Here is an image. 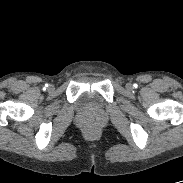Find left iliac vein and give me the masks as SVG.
Returning a JSON list of instances; mask_svg holds the SVG:
<instances>
[{"mask_svg": "<svg viewBox=\"0 0 183 183\" xmlns=\"http://www.w3.org/2000/svg\"><path fill=\"white\" fill-rule=\"evenodd\" d=\"M126 88H127L128 90H131V89L133 88V86H132V84L128 83V84L126 85Z\"/></svg>", "mask_w": 183, "mask_h": 183, "instance_id": "obj_1", "label": "left iliac vein"}]
</instances>
